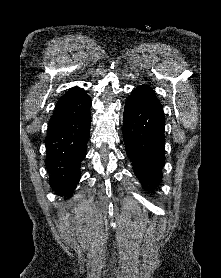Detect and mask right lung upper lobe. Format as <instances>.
<instances>
[{
	"mask_svg": "<svg viewBox=\"0 0 221 278\" xmlns=\"http://www.w3.org/2000/svg\"><path fill=\"white\" fill-rule=\"evenodd\" d=\"M90 106L91 100L83 89L71 88L58 100L48 133L76 119Z\"/></svg>",
	"mask_w": 221,
	"mask_h": 278,
	"instance_id": "cb5924a9",
	"label": "right lung upper lobe"
}]
</instances>
